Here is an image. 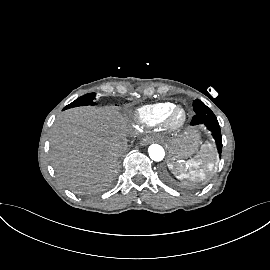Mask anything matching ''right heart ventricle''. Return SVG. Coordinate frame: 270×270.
<instances>
[{
    "label": "right heart ventricle",
    "mask_w": 270,
    "mask_h": 270,
    "mask_svg": "<svg viewBox=\"0 0 270 270\" xmlns=\"http://www.w3.org/2000/svg\"><path fill=\"white\" fill-rule=\"evenodd\" d=\"M175 107L172 102H160L139 107L135 118L139 124L147 127L158 126L165 122L170 111Z\"/></svg>",
    "instance_id": "right-heart-ventricle-1"
}]
</instances>
